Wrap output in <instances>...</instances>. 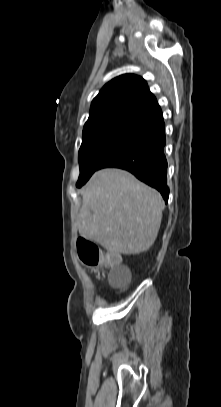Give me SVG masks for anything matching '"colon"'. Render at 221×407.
<instances>
[{
    "label": "colon",
    "instance_id": "obj_1",
    "mask_svg": "<svg viewBox=\"0 0 221 407\" xmlns=\"http://www.w3.org/2000/svg\"><path fill=\"white\" fill-rule=\"evenodd\" d=\"M77 249L81 261L90 267L103 265L110 268V266H115L116 261H122L120 252H105L102 257L99 248L85 239L78 241Z\"/></svg>",
    "mask_w": 221,
    "mask_h": 407
}]
</instances>
